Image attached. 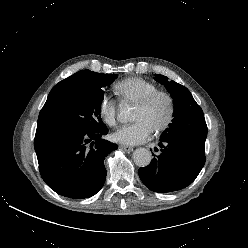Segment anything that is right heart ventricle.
<instances>
[{"instance_id": "e07e8e85", "label": "right heart ventricle", "mask_w": 248, "mask_h": 248, "mask_svg": "<svg viewBox=\"0 0 248 248\" xmlns=\"http://www.w3.org/2000/svg\"><path fill=\"white\" fill-rule=\"evenodd\" d=\"M157 90L154 83L139 77L125 79L116 86V92L122 101L130 103H137Z\"/></svg>"}]
</instances>
